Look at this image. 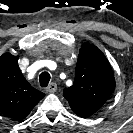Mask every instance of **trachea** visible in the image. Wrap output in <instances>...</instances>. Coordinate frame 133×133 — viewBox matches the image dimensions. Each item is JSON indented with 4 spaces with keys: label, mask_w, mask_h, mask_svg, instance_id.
Wrapping results in <instances>:
<instances>
[{
    "label": "trachea",
    "mask_w": 133,
    "mask_h": 133,
    "mask_svg": "<svg viewBox=\"0 0 133 133\" xmlns=\"http://www.w3.org/2000/svg\"><path fill=\"white\" fill-rule=\"evenodd\" d=\"M50 74L48 72H42L39 76V81H40V85L41 87H47V85L49 84L50 81Z\"/></svg>",
    "instance_id": "3493384b"
}]
</instances>
